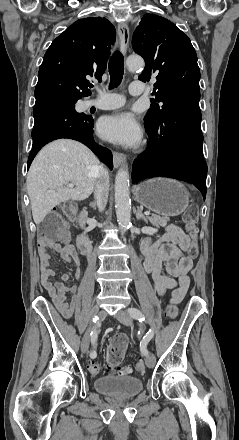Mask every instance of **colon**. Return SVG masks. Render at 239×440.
Masks as SVG:
<instances>
[{"instance_id": "5ec220e1", "label": "colon", "mask_w": 239, "mask_h": 440, "mask_svg": "<svg viewBox=\"0 0 239 440\" xmlns=\"http://www.w3.org/2000/svg\"><path fill=\"white\" fill-rule=\"evenodd\" d=\"M76 211V206L73 203L62 204L53 209L54 214L49 215L40 227L39 233V246L47 247L59 238L64 224L59 217V213L64 215H72ZM183 220L185 222L186 231L188 235L194 239L197 233L196 222L198 220V207L195 204H191L184 212ZM189 255L195 258L198 254V247L194 240L188 250ZM166 315L174 319L177 315V308L174 305H168L166 309ZM128 346V339L124 334H116L110 340L106 353V365L104 371L107 373L119 372L122 374H129L132 369L128 366H122V361ZM88 369L91 374L97 375L101 372L102 368L96 361H90ZM137 373L142 374L145 371V363L139 360L135 365Z\"/></svg>"}]
</instances>
